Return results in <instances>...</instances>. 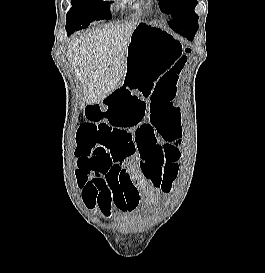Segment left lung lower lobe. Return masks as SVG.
<instances>
[{"mask_svg":"<svg viewBox=\"0 0 265 273\" xmlns=\"http://www.w3.org/2000/svg\"><path fill=\"white\" fill-rule=\"evenodd\" d=\"M175 32L181 34L189 40H193V37L198 29V24L195 21H191L187 25H182L180 27H171Z\"/></svg>","mask_w":265,"mask_h":273,"instance_id":"obj_1","label":"left lung lower lobe"}]
</instances>
